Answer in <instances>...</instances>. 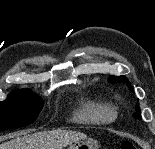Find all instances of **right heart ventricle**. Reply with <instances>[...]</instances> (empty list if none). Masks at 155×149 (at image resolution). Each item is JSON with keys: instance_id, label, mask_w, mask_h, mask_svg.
<instances>
[{"instance_id": "right-heart-ventricle-1", "label": "right heart ventricle", "mask_w": 155, "mask_h": 149, "mask_svg": "<svg viewBox=\"0 0 155 149\" xmlns=\"http://www.w3.org/2000/svg\"><path fill=\"white\" fill-rule=\"evenodd\" d=\"M115 116L110 104L87 97L76 109L73 119L81 124L105 125L113 122Z\"/></svg>"}]
</instances>
